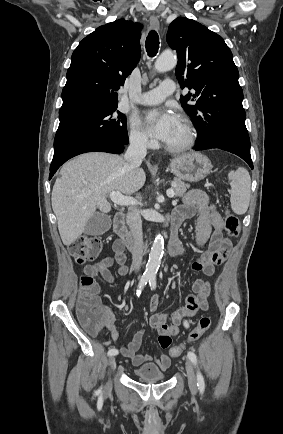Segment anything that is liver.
Returning a JSON list of instances; mask_svg holds the SVG:
<instances>
[{
  "label": "liver",
  "instance_id": "liver-1",
  "mask_svg": "<svg viewBox=\"0 0 283 434\" xmlns=\"http://www.w3.org/2000/svg\"><path fill=\"white\" fill-rule=\"evenodd\" d=\"M145 180L142 168L115 154L91 152L68 161L60 170L51 197L63 244L69 246L81 236L97 209L103 213L111 210L108 193L131 195Z\"/></svg>",
  "mask_w": 283,
  "mask_h": 434
}]
</instances>
